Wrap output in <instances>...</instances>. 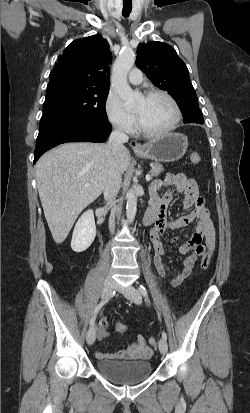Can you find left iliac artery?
I'll list each match as a JSON object with an SVG mask.
<instances>
[{"label": "left iliac artery", "mask_w": 250, "mask_h": 413, "mask_svg": "<svg viewBox=\"0 0 250 413\" xmlns=\"http://www.w3.org/2000/svg\"><path fill=\"white\" fill-rule=\"evenodd\" d=\"M139 291L141 292V294L147 298L148 297V292L146 290V288L143 285L139 286ZM162 338H164L165 340L167 339V334L165 332H162Z\"/></svg>", "instance_id": "44dca946"}]
</instances>
